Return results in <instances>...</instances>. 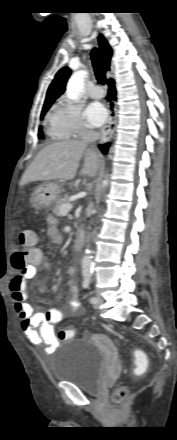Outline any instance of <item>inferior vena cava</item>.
Wrapping results in <instances>:
<instances>
[{"label":"inferior vena cava","mask_w":177,"mask_h":440,"mask_svg":"<svg viewBox=\"0 0 177 440\" xmlns=\"http://www.w3.org/2000/svg\"><path fill=\"white\" fill-rule=\"evenodd\" d=\"M100 136L99 132L86 129L82 134L83 142H94Z\"/></svg>","instance_id":"1"}]
</instances>
